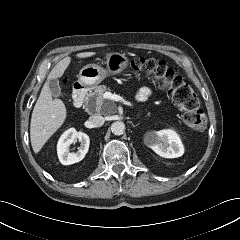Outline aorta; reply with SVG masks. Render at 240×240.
<instances>
[{
	"label": "aorta",
	"mask_w": 240,
	"mask_h": 240,
	"mask_svg": "<svg viewBox=\"0 0 240 240\" xmlns=\"http://www.w3.org/2000/svg\"><path fill=\"white\" fill-rule=\"evenodd\" d=\"M111 131L114 135H122L125 131V124L121 121H116L111 125Z\"/></svg>",
	"instance_id": "obj_1"
}]
</instances>
